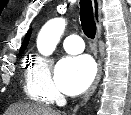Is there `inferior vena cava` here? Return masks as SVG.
<instances>
[{
	"mask_svg": "<svg viewBox=\"0 0 131 115\" xmlns=\"http://www.w3.org/2000/svg\"><path fill=\"white\" fill-rule=\"evenodd\" d=\"M55 100H56V104L60 107L65 106L67 103L65 97L61 94L57 95Z\"/></svg>",
	"mask_w": 131,
	"mask_h": 115,
	"instance_id": "inferior-vena-cava-1",
	"label": "inferior vena cava"
}]
</instances>
